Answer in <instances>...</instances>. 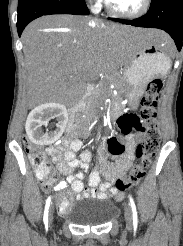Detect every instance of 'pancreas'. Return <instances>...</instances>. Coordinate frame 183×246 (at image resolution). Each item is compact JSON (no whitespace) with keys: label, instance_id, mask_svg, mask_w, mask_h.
Listing matches in <instances>:
<instances>
[{"label":"pancreas","instance_id":"pancreas-1","mask_svg":"<svg viewBox=\"0 0 183 246\" xmlns=\"http://www.w3.org/2000/svg\"><path fill=\"white\" fill-rule=\"evenodd\" d=\"M100 88L96 89L94 93L90 96L89 98V106H94L96 105V98L98 97Z\"/></svg>","mask_w":183,"mask_h":246}]
</instances>
